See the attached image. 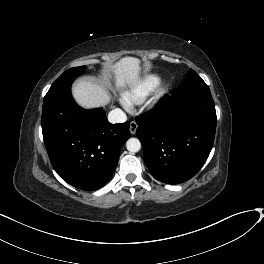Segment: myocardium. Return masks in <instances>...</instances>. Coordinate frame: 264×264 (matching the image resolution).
Masks as SVG:
<instances>
[{
    "instance_id": "myocardium-1",
    "label": "myocardium",
    "mask_w": 264,
    "mask_h": 264,
    "mask_svg": "<svg viewBox=\"0 0 264 264\" xmlns=\"http://www.w3.org/2000/svg\"><path fill=\"white\" fill-rule=\"evenodd\" d=\"M167 91L166 85L158 84V86L153 91L152 96L147 100V107L149 109H155L161 102L163 96Z\"/></svg>"
}]
</instances>
